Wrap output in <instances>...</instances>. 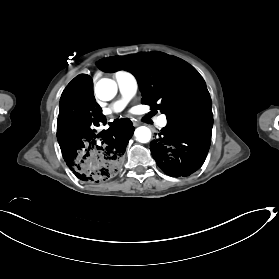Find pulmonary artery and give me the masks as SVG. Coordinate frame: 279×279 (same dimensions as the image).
<instances>
[{
    "mask_svg": "<svg viewBox=\"0 0 279 279\" xmlns=\"http://www.w3.org/2000/svg\"><path fill=\"white\" fill-rule=\"evenodd\" d=\"M113 78L118 86L120 92V98L104 109V112H117L121 110L127 102L135 95L137 90V82L134 76L118 71L113 74ZM157 126L160 127L161 123L157 122Z\"/></svg>",
    "mask_w": 279,
    "mask_h": 279,
    "instance_id": "pulmonary-artery-1",
    "label": "pulmonary artery"
}]
</instances>
